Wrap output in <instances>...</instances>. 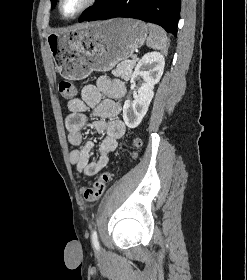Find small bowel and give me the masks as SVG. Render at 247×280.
Here are the masks:
<instances>
[{"mask_svg":"<svg viewBox=\"0 0 247 280\" xmlns=\"http://www.w3.org/2000/svg\"><path fill=\"white\" fill-rule=\"evenodd\" d=\"M125 94L126 86L122 81L102 77L96 84L84 86L80 98L69 101V114L65 118L68 141L74 146H80L69 153V160L71 164L76 165L80 174L91 177L103 169L109 162V154L117 148L118 141L124 136L126 128L118 118V101ZM88 109H92L95 117V131L105 134L99 145V157L93 162H90L89 158L94 144L85 140L83 133L87 122L85 112Z\"/></svg>","mask_w":247,"mask_h":280,"instance_id":"small-bowel-1","label":"small bowel"}]
</instances>
